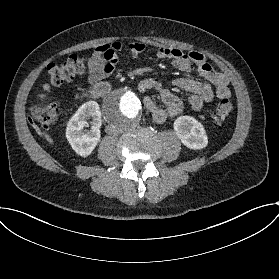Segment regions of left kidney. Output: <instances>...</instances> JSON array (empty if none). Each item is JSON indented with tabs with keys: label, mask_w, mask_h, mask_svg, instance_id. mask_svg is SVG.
Wrapping results in <instances>:
<instances>
[{
	"label": "left kidney",
	"mask_w": 279,
	"mask_h": 279,
	"mask_svg": "<svg viewBox=\"0 0 279 279\" xmlns=\"http://www.w3.org/2000/svg\"><path fill=\"white\" fill-rule=\"evenodd\" d=\"M173 128L181 143L191 150H203L208 146V135L202 123L192 116H179Z\"/></svg>",
	"instance_id": "1"
}]
</instances>
